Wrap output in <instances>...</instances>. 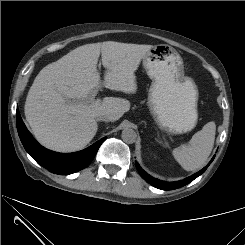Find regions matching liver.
Segmentation results:
<instances>
[{
	"label": "liver",
	"mask_w": 245,
	"mask_h": 245,
	"mask_svg": "<svg viewBox=\"0 0 245 245\" xmlns=\"http://www.w3.org/2000/svg\"><path fill=\"white\" fill-rule=\"evenodd\" d=\"M152 45L115 41L85 44L45 66L34 79L25 102V116L35 138L46 148L58 152L83 149L96 135V117L107 115L110 121L120 119L130 102L105 97L93 102L85 100L99 88L97 70L101 55L107 69L104 85L113 91L134 94L135 72Z\"/></svg>",
	"instance_id": "6515ba94"
}]
</instances>
